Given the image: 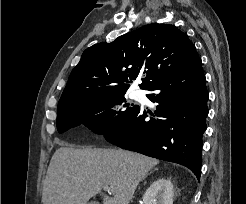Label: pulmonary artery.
Returning <instances> with one entry per match:
<instances>
[{
    "label": "pulmonary artery",
    "mask_w": 246,
    "mask_h": 204,
    "mask_svg": "<svg viewBox=\"0 0 246 204\" xmlns=\"http://www.w3.org/2000/svg\"><path fill=\"white\" fill-rule=\"evenodd\" d=\"M133 98L136 99V100L139 99V98H140V94H139V93H135V94L133 95Z\"/></svg>",
    "instance_id": "1"
}]
</instances>
